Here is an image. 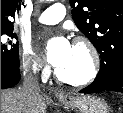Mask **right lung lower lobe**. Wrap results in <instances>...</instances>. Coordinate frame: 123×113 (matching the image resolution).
<instances>
[{
	"label": "right lung lower lobe",
	"instance_id": "98d812e1",
	"mask_svg": "<svg viewBox=\"0 0 123 113\" xmlns=\"http://www.w3.org/2000/svg\"><path fill=\"white\" fill-rule=\"evenodd\" d=\"M19 72V68L12 71L1 69V89L11 88L17 85L21 79Z\"/></svg>",
	"mask_w": 123,
	"mask_h": 113
}]
</instances>
